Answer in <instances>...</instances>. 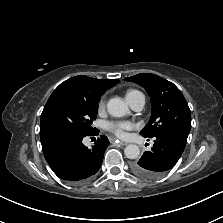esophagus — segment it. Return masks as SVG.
<instances>
[{"label": "esophagus", "mask_w": 223, "mask_h": 223, "mask_svg": "<svg viewBox=\"0 0 223 223\" xmlns=\"http://www.w3.org/2000/svg\"><path fill=\"white\" fill-rule=\"evenodd\" d=\"M111 142H118L120 145H127V142L121 141V140H117L115 138L110 139Z\"/></svg>", "instance_id": "1"}]
</instances>
